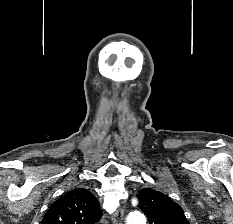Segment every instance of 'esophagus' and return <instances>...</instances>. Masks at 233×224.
<instances>
[{
    "label": "esophagus",
    "instance_id": "34e87169",
    "mask_svg": "<svg viewBox=\"0 0 233 224\" xmlns=\"http://www.w3.org/2000/svg\"><path fill=\"white\" fill-rule=\"evenodd\" d=\"M123 216H124V211L120 207L117 209V211L114 213L112 217V224H123Z\"/></svg>",
    "mask_w": 233,
    "mask_h": 224
}]
</instances>
